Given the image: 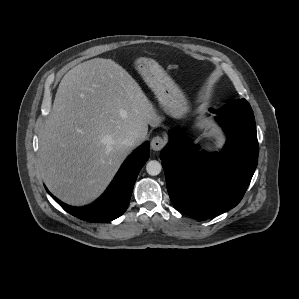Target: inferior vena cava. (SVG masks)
I'll use <instances>...</instances> for the list:
<instances>
[{
    "label": "inferior vena cava",
    "mask_w": 299,
    "mask_h": 299,
    "mask_svg": "<svg viewBox=\"0 0 299 299\" xmlns=\"http://www.w3.org/2000/svg\"><path fill=\"white\" fill-rule=\"evenodd\" d=\"M144 140V137L142 135H132L122 141V144L124 146H127L129 148H133L137 145H139Z\"/></svg>",
    "instance_id": "602c4592"
}]
</instances>
